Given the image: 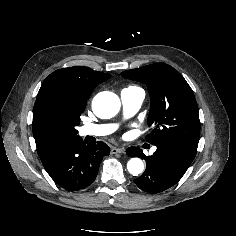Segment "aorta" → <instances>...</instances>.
I'll return each mask as SVG.
<instances>
[{
    "label": "aorta",
    "instance_id": "obj_1",
    "mask_svg": "<svg viewBox=\"0 0 236 236\" xmlns=\"http://www.w3.org/2000/svg\"><path fill=\"white\" fill-rule=\"evenodd\" d=\"M121 102L119 97L112 92L104 91L98 93L92 102L94 113L100 118H112L120 110ZM130 174L137 176L144 170L143 161L140 158H131L127 163Z\"/></svg>",
    "mask_w": 236,
    "mask_h": 236
}]
</instances>
